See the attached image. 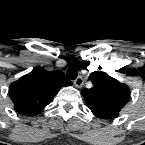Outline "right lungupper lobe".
I'll return each instance as SVG.
<instances>
[{
	"instance_id": "cb5924a9",
	"label": "right lung upper lobe",
	"mask_w": 145,
	"mask_h": 145,
	"mask_svg": "<svg viewBox=\"0 0 145 145\" xmlns=\"http://www.w3.org/2000/svg\"><path fill=\"white\" fill-rule=\"evenodd\" d=\"M71 84L63 72L38 67L13 82L9 94L18 113L33 116L52 102L61 87Z\"/></svg>"
}]
</instances>
